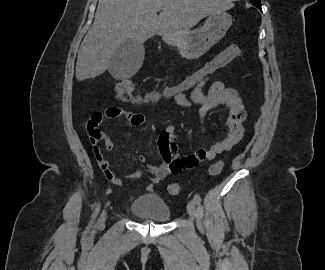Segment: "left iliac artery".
<instances>
[{"label":"left iliac artery","instance_id":"44dca946","mask_svg":"<svg viewBox=\"0 0 325 270\" xmlns=\"http://www.w3.org/2000/svg\"><path fill=\"white\" fill-rule=\"evenodd\" d=\"M193 200L195 204L199 205L201 202V197L198 194H195Z\"/></svg>","mask_w":325,"mask_h":270}]
</instances>
